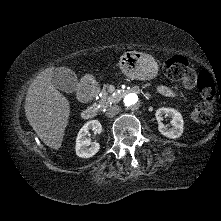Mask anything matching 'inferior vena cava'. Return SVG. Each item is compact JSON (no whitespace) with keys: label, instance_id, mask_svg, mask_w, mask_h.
<instances>
[{"label":"inferior vena cava","instance_id":"602c4592","mask_svg":"<svg viewBox=\"0 0 221 221\" xmlns=\"http://www.w3.org/2000/svg\"><path fill=\"white\" fill-rule=\"evenodd\" d=\"M119 110H120V109H119V106H118V105H113V106H111V107L107 110L106 116L109 117V118H112V117H114L115 115L118 114Z\"/></svg>","mask_w":221,"mask_h":221}]
</instances>
